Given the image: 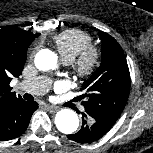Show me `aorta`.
<instances>
[{
    "label": "aorta",
    "instance_id": "1",
    "mask_svg": "<svg viewBox=\"0 0 153 153\" xmlns=\"http://www.w3.org/2000/svg\"><path fill=\"white\" fill-rule=\"evenodd\" d=\"M35 66L39 70L47 71L57 66V56L48 49H43L36 54ZM57 129L64 134H72L79 127L78 115L69 109H62L55 116Z\"/></svg>",
    "mask_w": 153,
    "mask_h": 153
}]
</instances>
